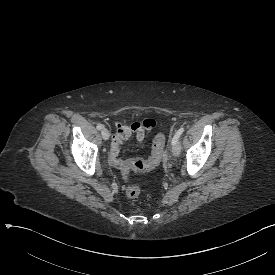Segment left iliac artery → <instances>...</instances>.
<instances>
[{
  "mask_svg": "<svg viewBox=\"0 0 275 275\" xmlns=\"http://www.w3.org/2000/svg\"><path fill=\"white\" fill-rule=\"evenodd\" d=\"M184 132V127H181L177 132H176V134L174 135V137L172 138V141H171V144L173 145V144H175L178 140H179V138H180V136H181V134Z\"/></svg>",
  "mask_w": 275,
  "mask_h": 275,
  "instance_id": "44dca946",
  "label": "left iliac artery"
}]
</instances>
